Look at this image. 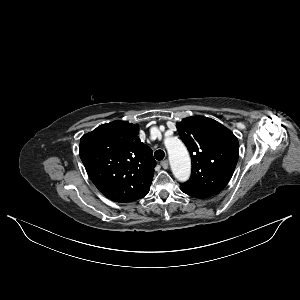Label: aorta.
<instances>
[{
    "mask_svg": "<svg viewBox=\"0 0 300 300\" xmlns=\"http://www.w3.org/2000/svg\"><path fill=\"white\" fill-rule=\"evenodd\" d=\"M165 146L175 178L180 182L187 181L191 173V160L185 145L177 137H166Z\"/></svg>",
    "mask_w": 300,
    "mask_h": 300,
    "instance_id": "aorta-1",
    "label": "aorta"
}]
</instances>
